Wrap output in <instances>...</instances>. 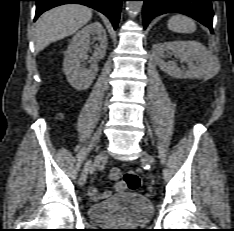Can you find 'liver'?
<instances>
[{"label": "liver", "mask_w": 234, "mask_h": 231, "mask_svg": "<svg viewBox=\"0 0 234 231\" xmlns=\"http://www.w3.org/2000/svg\"><path fill=\"white\" fill-rule=\"evenodd\" d=\"M92 10L78 4H67L43 13L35 27V48L42 51L50 43L74 34L89 22Z\"/></svg>", "instance_id": "6515ba94"}]
</instances>
